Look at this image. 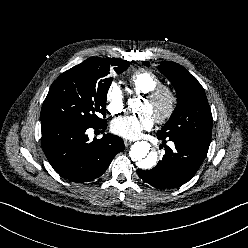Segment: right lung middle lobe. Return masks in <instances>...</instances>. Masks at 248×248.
Returning a JSON list of instances; mask_svg holds the SVG:
<instances>
[{
    "instance_id": "1",
    "label": "right lung middle lobe",
    "mask_w": 248,
    "mask_h": 248,
    "mask_svg": "<svg viewBox=\"0 0 248 248\" xmlns=\"http://www.w3.org/2000/svg\"><path fill=\"white\" fill-rule=\"evenodd\" d=\"M130 65L123 61L115 66L79 64L62 73L51 85L41 109V125L71 123L99 125L105 122L107 91L117 74Z\"/></svg>"
}]
</instances>
